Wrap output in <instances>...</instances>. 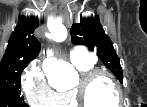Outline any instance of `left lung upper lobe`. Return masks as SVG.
I'll use <instances>...</instances> for the list:
<instances>
[{
	"label": "left lung upper lobe",
	"instance_id": "1",
	"mask_svg": "<svg viewBox=\"0 0 147 107\" xmlns=\"http://www.w3.org/2000/svg\"><path fill=\"white\" fill-rule=\"evenodd\" d=\"M73 44L87 46L96 51L100 60L110 71L123 82L122 68L112 41L105 34L98 17L81 18L79 23H73L70 29Z\"/></svg>",
	"mask_w": 147,
	"mask_h": 107
}]
</instances>
